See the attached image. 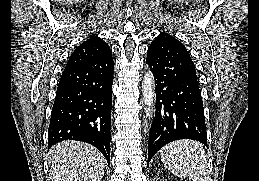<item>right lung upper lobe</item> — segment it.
<instances>
[{"mask_svg": "<svg viewBox=\"0 0 259 181\" xmlns=\"http://www.w3.org/2000/svg\"><path fill=\"white\" fill-rule=\"evenodd\" d=\"M111 49L101 38L94 36L80 44L69 57L66 67L99 58Z\"/></svg>", "mask_w": 259, "mask_h": 181, "instance_id": "obj_1", "label": "right lung upper lobe"}]
</instances>
